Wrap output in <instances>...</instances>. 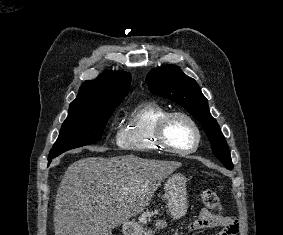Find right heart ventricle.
Listing matches in <instances>:
<instances>
[{"mask_svg":"<svg viewBox=\"0 0 283 235\" xmlns=\"http://www.w3.org/2000/svg\"><path fill=\"white\" fill-rule=\"evenodd\" d=\"M168 112V108L155 101L138 104L128 115L118 133V145L137 152L159 150L161 147L156 141L155 129L159 120Z\"/></svg>","mask_w":283,"mask_h":235,"instance_id":"1","label":"right heart ventricle"}]
</instances>
